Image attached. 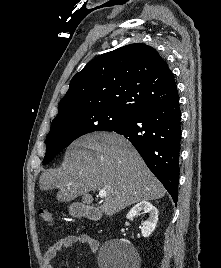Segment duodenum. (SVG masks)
Listing matches in <instances>:
<instances>
[{
  "mask_svg": "<svg viewBox=\"0 0 221 268\" xmlns=\"http://www.w3.org/2000/svg\"><path fill=\"white\" fill-rule=\"evenodd\" d=\"M84 214H85L88 218H90V219H92V220H96V219L99 218V214H98V212H97L96 210H94V209H86V210L84 211Z\"/></svg>",
  "mask_w": 221,
  "mask_h": 268,
  "instance_id": "410a0bca",
  "label": "duodenum"
}]
</instances>
